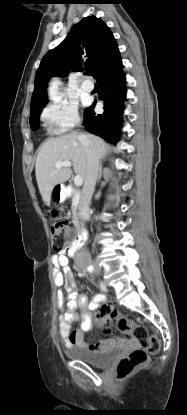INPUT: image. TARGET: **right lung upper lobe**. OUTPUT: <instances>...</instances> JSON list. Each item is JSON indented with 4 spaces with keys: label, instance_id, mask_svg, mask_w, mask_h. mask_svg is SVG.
I'll list each match as a JSON object with an SVG mask.
<instances>
[{
    "label": "right lung upper lobe",
    "instance_id": "cb5924a9",
    "mask_svg": "<svg viewBox=\"0 0 187 415\" xmlns=\"http://www.w3.org/2000/svg\"><path fill=\"white\" fill-rule=\"evenodd\" d=\"M119 53L109 27L90 16L75 24L69 35L42 58L35 76L31 111L47 102L46 87L51 77H64L70 71L90 69L94 78Z\"/></svg>",
    "mask_w": 187,
    "mask_h": 415
}]
</instances>
